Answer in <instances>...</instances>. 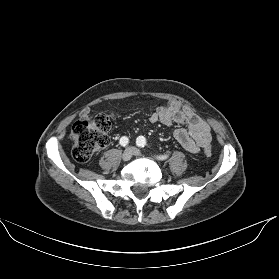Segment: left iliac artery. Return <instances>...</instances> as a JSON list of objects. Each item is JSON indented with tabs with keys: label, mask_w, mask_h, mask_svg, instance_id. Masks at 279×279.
I'll return each instance as SVG.
<instances>
[{
	"label": "left iliac artery",
	"mask_w": 279,
	"mask_h": 279,
	"mask_svg": "<svg viewBox=\"0 0 279 279\" xmlns=\"http://www.w3.org/2000/svg\"><path fill=\"white\" fill-rule=\"evenodd\" d=\"M136 144L139 146V147H145L146 145V139L143 137V136H139L136 140ZM157 158L159 160H165L168 158V155H162V156H157Z\"/></svg>",
	"instance_id": "44dca946"
}]
</instances>
